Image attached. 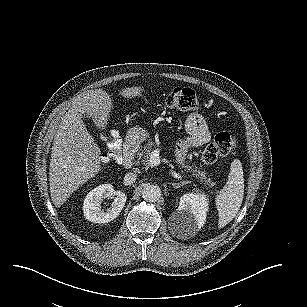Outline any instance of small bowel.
<instances>
[{
    "mask_svg": "<svg viewBox=\"0 0 307 307\" xmlns=\"http://www.w3.org/2000/svg\"><path fill=\"white\" fill-rule=\"evenodd\" d=\"M185 128L189 137L179 142L176 149V155L180 161L185 158L189 149L202 146L210 140L208 127L203 117L199 114L189 115Z\"/></svg>",
    "mask_w": 307,
    "mask_h": 307,
    "instance_id": "1",
    "label": "small bowel"
}]
</instances>
